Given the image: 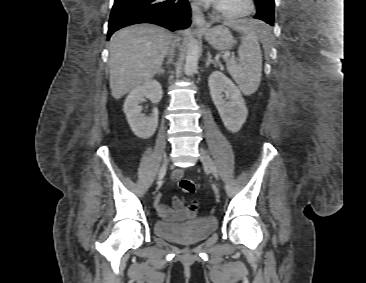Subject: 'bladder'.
I'll return each instance as SVG.
<instances>
[{
	"label": "bladder",
	"instance_id": "31cf9c89",
	"mask_svg": "<svg viewBox=\"0 0 366 283\" xmlns=\"http://www.w3.org/2000/svg\"><path fill=\"white\" fill-rule=\"evenodd\" d=\"M217 228V220L213 217L198 218L181 223L155 220L154 233L168 241L178 244H195L211 235Z\"/></svg>",
	"mask_w": 366,
	"mask_h": 283
}]
</instances>
